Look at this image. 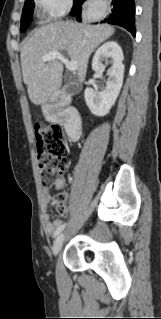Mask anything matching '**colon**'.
<instances>
[{"label": "colon", "mask_w": 161, "mask_h": 319, "mask_svg": "<svg viewBox=\"0 0 161 319\" xmlns=\"http://www.w3.org/2000/svg\"><path fill=\"white\" fill-rule=\"evenodd\" d=\"M38 165L41 184L50 187L56 184L68 166V150L61 136V129L51 125L39 129L37 135ZM57 213L67 208V195L59 193L52 202Z\"/></svg>", "instance_id": "obj_1"}]
</instances>
